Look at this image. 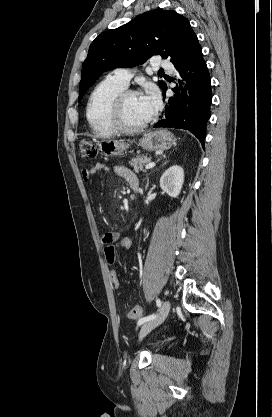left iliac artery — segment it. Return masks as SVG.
I'll return each instance as SVG.
<instances>
[{
    "instance_id": "1",
    "label": "left iliac artery",
    "mask_w": 272,
    "mask_h": 417,
    "mask_svg": "<svg viewBox=\"0 0 272 417\" xmlns=\"http://www.w3.org/2000/svg\"><path fill=\"white\" fill-rule=\"evenodd\" d=\"M156 305L158 306V308H160V307H161V301H160V299H159V298H156ZM155 316H156V314H151V315H148V316H146V317H142V318H140V319L138 320L137 325H138V326H140V325H142L143 323H145V322H147V321H149V320L153 319Z\"/></svg>"
}]
</instances>
